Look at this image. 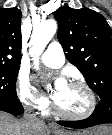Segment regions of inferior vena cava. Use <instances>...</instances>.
<instances>
[{
  "label": "inferior vena cava",
  "instance_id": "1",
  "mask_svg": "<svg viewBox=\"0 0 112 135\" xmlns=\"http://www.w3.org/2000/svg\"><path fill=\"white\" fill-rule=\"evenodd\" d=\"M30 112H31V111H29V113H26V114L24 115V121H25V123H26V124L38 123L39 120H38V118L36 117V115H35V114H32V113H30Z\"/></svg>",
  "mask_w": 112,
  "mask_h": 135
}]
</instances>
